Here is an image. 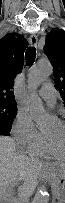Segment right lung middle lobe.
<instances>
[{"instance_id":"dd1d6c3e","label":"right lung middle lobe","mask_w":65,"mask_h":203,"mask_svg":"<svg viewBox=\"0 0 65 203\" xmlns=\"http://www.w3.org/2000/svg\"><path fill=\"white\" fill-rule=\"evenodd\" d=\"M17 114L15 103L0 102V134L9 135Z\"/></svg>"}]
</instances>
